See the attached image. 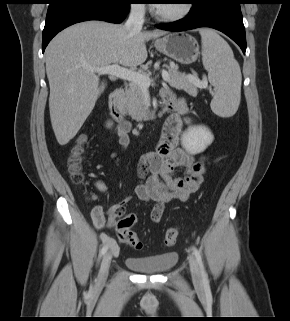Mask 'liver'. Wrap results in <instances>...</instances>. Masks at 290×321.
Wrapping results in <instances>:
<instances>
[{"mask_svg":"<svg viewBox=\"0 0 290 321\" xmlns=\"http://www.w3.org/2000/svg\"><path fill=\"white\" fill-rule=\"evenodd\" d=\"M166 33L129 32L123 25L86 21L64 29L51 40L45 51L49 111L60 145L75 137L105 89V83L100 84L99 76L88 68L141 65L148 57L145 42Z\"/></svg>","mask_w":290,"mask_h":321,"instance_id":"6515ba94","label":"liver"}]
</instances>
